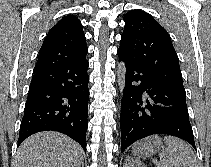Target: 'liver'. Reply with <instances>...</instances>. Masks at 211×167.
<instances>
[{
	"instance_id": "liver-1",
	"label": "liver",
	"mask_w": 211,
	"mask_h": 167,
	"mask_svg": "<svg viewBox=\"0 0 211 167\" xmlns=\"http://www.w3.org/2000/svg\"><path fill=\"white\" fill-rule=\"evenodd\" d=\"M84 151L71 138L58 132H40L18 148L14 167H80Z\"/></svg>"
}]
</instances>
